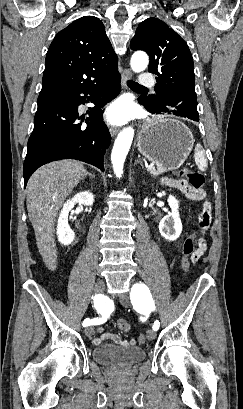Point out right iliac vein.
<instances>
[{"instance_id":"1","label":"right iliac vein","mask_w":243,"mask_h":409,"mask_svg":"<svg viewBox=\"0 0 243 409\" xmlns=\"http://www.w3.org/2000/svg\"><path fill=\"white\" fill-rule=\"evenodd\" d=\"M104 287H105V282H104L103 280H98V281L95 283V286H94V291H95V293H101V292H103ZM93 333H94V328H93V327H87V328L85 329V334H86L87 336L90 337V336L93 335Z\"/></svg>"}]
</instances>
